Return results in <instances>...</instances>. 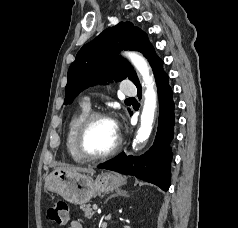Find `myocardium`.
Here are the masks:
<instances>
[{
  "mask_svg": "<svg viewBox=\"0 0 238 228\" xmlns=\"http://www.w3.org/2000/svg\"><path fill=\"white\" fill-rule=\"evenodd\" d=\"M97 119H110L109 115L104 111H92L87 114V116L82 120L81 124L78 127L76 139H75V147L78 154L85 159L86 161H98L104 160L115 155L122 146V139L120 135L117 137L116 144L107 152L103 154L94 155L85 149V137L89 131L92 123Z\"/></svg>",
  "mask_w": 238,
  "mask_h": 228,
  "instance_id": "f54148a6",
  "label": "myocardium"
}]
</instances>
